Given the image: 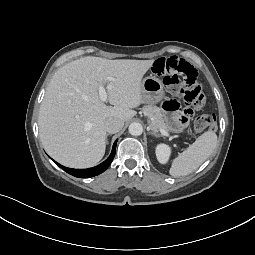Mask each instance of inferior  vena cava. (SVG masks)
<instances>
[{
    "instance_id": "inferior-vena-cava-1",
    "label": "inferior vena cava",
    "mask_w": 255,
    "mask_h": 255,
    "mask_svg": "<svg viewBox=\"0 0 255 255\" xmlns=\"http://www.w3.org/2000/svg\"><path fill=\"white\" fill-rule=\"evenodd\" d=\"M124 126V122L116 118H108L105 122V129L108 133L114 134L119 132Z\"/></svg>"
}]
</instances>
